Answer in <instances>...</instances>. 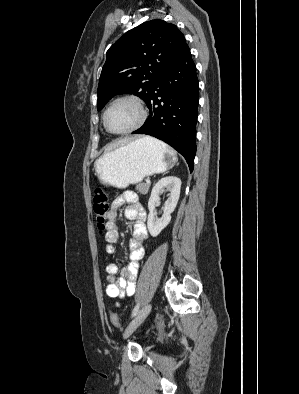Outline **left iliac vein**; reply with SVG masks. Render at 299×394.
<instances>
[{
	"label": "left iliac vein",
	"instance_id": "4c4485c4",
	"mask_svg": "<svg viewBox=\"0 0 299 394\" xmlns=\"http://www.w3.org/2000/svg\"><path fill=\"white\" fill-rule=\"evenodd\" d=\"M151 308V304H147L138 312V314L125 329L123 334L124 338H128L137 329V327L146 319L151 311Z\"/></svg>",
	"mask_w": 299,
	"mask_h": 394
}]
</instances>
